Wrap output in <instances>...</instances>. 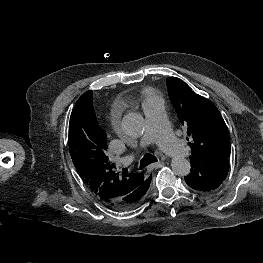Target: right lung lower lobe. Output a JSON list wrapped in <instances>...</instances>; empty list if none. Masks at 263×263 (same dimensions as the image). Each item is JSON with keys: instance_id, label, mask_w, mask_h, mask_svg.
Masks as SVG:
<instances>
[{"instance_id": "right-lung-lower-lobe-1", "label": "right lung lower lobe", "mask_w": 263, "mask_h": 263, "mask_svg": "<svg viewBox=\"0 0 263 263\" xmlns=\"http://www.w3.org/2000/svg\"><path fill=\"white\" fill-rule=\"evenodd\" d=\"M150 182H151V177H150L148 183H147V184L145 185V187H144V190H143L144 194L147 192V190H148V188H149V185H150ZM143 196H144V195H143ZM113 208H114V209H117V210H126V209H123L121 206H114Z\"/></svg>"}]
</instances>
